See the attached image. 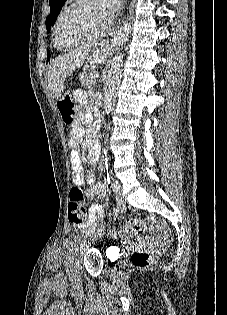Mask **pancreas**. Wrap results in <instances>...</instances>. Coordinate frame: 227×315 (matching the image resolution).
Returning a JSON list of instances; mask_svg holds the SVG:
<instances>
[{"mask_svg":"<svg viewBox=\"0 0 227 315\" xmlns=\"http://www.w3.org/2000/svg\"><path fill=\"white\" fill-rule=\"evenodd\" d=\"M94 72L82 73L80 75V81L83 86H87L91 89L95 85V79L93 78Z\"/></svg>","mask_w":227,"mask_h":315,"instance_id":"pancreas-1","label":"pancreas"}]
</instances>
